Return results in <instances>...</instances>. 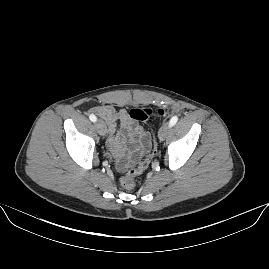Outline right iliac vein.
<instances>
[{"label": "right iliac vein", "instance_id": "63e3f726", "mask_svg": "<svg viewBox=\"0 0 269 269\" xmlns=\"http://www.w3.org/2000/svg\"><path fill=\"white\" fill-rule=\"evenodd\" d=\"M96 128H97V132L102 135L105 136L107 129H106V125L102 120H98L96 122Z\"/></svg>", "mask_w": 269, "mask_h": 269}]
</instances>
